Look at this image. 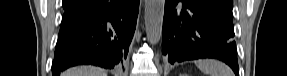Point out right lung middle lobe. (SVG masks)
Returning <instances> with one entry per match:
<instances>
[{
  "label": "right lung middle lobe",
  "instance_id": "obj_1",
  "mask_svg": "<svg viewBox=\"0 0 287 76\" xmlns=\"http://www.w3.org/2000/svg\"><path fill=\"white\" fill-rule=\"evenodd\" d=\"M81 0H64L63 1V8L65 11L71 9L72 7L76 6Z\"/></svg>",
  "mask_w": 287,
  "mask_h": 76
}]
</instances>
